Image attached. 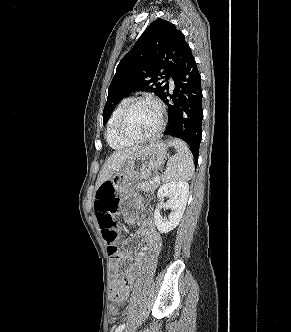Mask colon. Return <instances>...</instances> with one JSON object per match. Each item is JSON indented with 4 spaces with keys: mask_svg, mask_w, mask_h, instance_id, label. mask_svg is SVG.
<instances>
[{
    "mask_svg": "<svg viewBox=\"0 0 291 332\" xmlns=\"http://www.w3.org/2000/svg\"><path fill=\"white\" fill-rule=\"evenodd\" d=\"M98 223L101 229L103 239L106 243L109 255L112 258H118L119 250L117 247L118 230L115 220L117 202L113 189L102 190L96 198L95 203ZM111 318H116L119 311L116 307L110 309Z\"/></svg>",
    "mask_w": 291,
    "mask_h": 332,
    "instance_id": "1",
    "label": "colon"
}]
</instances>
